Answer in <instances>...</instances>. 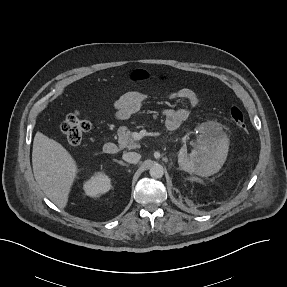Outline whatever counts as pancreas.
Instances as JSON below:
<instances>
[{
    "instance_id": "obj_1",
    "label": "pancreas",
    "mask_w": 287,
    "mask_h": 287,
    "mask_svg": "<svg viewBox=\"0 0 287 287\" xmlns=\"http://www.w3.org/2000/svg\"><path fill=\"white\" fill-rule=\"evenodd\" d=\"M119 148H127L129 150L138 148L139 145L132 137V132L125 126H121L117 130Z\"/></svg>"
}]
</instances>
